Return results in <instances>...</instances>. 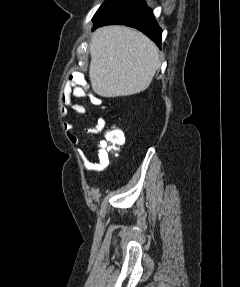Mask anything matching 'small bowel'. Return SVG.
Listing matches in <instances>:
<instances>
[{
    "mask_svg": "<svg viewBox=\"0 0 240 287\" xmlns=\"http://www.w3.org/2000/svg\"><path fill=\"white\" fill-rule=\"evenodd\" d=\"M86 97L85 90L79 84V78L77 77H70V79L66 82L63 87L62 94H61V102H62V113L65 114L67 108H71L78 114H84L86 112V108L84 105L76 103L74 99L84 98ZM105 120L103 118H99L93 125L85 128V133L87 134H97L101 132L105 127ZM68 138L72 143L79 142V139L69 133ZM107 142L105 140L99 141L95 152L99 158V164L104 165L108 162L109 156L107 152Z\"/></svg>",
    "mask_w": 240,
    "mask_h": 287,
    "instance_id": "c3829d8e",
    "label": "small bowel"
}]
</instances>
